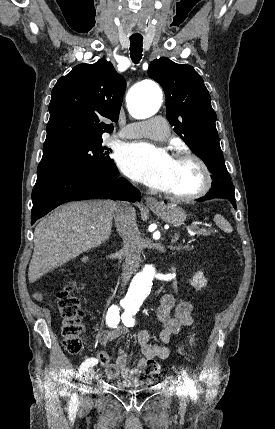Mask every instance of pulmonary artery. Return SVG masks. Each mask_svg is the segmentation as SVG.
I'll return each instance as SVG.
<instances>
[{
  "mask_svg": "<svg viewBox=\"0 0 275 429\" xmlns=\"http://www.w3.org/2000/svg\"><path fill=\"white\" fill-rule=\"evenodd\" d=\"M169 135V129L162 117H155L148 121L128 124L117 132L118 138L148 137L154 140H164Z\"/></svg>",
  "mask_w": 275,
  "mask_h": 429,
  "instance_id": "obj_1",
  "label": "pulmonary artery"
}]
</instances>
